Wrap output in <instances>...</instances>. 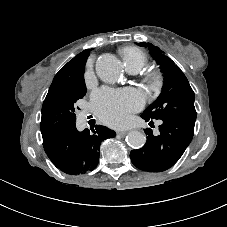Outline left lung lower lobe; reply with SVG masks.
Instances as JSON below:
<instances>
[{"instance_id":"0a47b994","label":"left lung lower lobe","mask_w":227,"mask_h":227,"mask_svg":"<svg viewBox=\"0 0 227 227\" xmlns=\"http://www.w3.org/2000/svg\"><path fill=\"white\" fill-rule=\"evenodd\" d=\"M141 117L146 121L152 120L144 115ZM159 119L162 121L160 133L156 136L147 128L145 145L130 153L132 163L148 172H162L172 167L180 159L194 134L195 121L175 116Z\"/></svg>"}]
</instances>
